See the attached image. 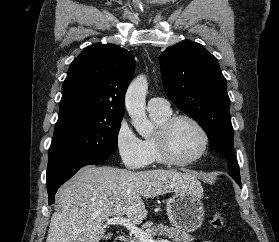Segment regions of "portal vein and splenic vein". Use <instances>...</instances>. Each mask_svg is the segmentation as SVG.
I'll return each instance as SVG.
<instances>
[{"mask_svg": "<svg viewBox=\"0 0 279 242\" xmlns=\"http://www.w3.org/2000/svg\"><path fill=\"white\" fill-rule=\"evenodd\" d=\"M106 225H123L132 234L135 235L141 242H168V241H156L146 231L137 227L130 219H126L122 216H115L107 220Z\"/></svg>", "mask_w": 279, "mask_h": 242, "instance_id": "portal-vein-and-splenic-vein-1", "label": "portal vein and splenic vein"}]
</instances>
